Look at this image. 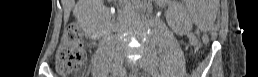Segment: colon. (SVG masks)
Instances as JSON below:
<instances>
[{"label": "colon", "mask_w": 258, "mask_h": 77, "mask_svg": "<svg viewBox=\"0 0 258 77\" xmlns=\"http://www.w3.org/2000/svg\"><path fill=\"white\" fill-rule=\"evenodd\" d=\"M86 60L82 36L78 25H69L63 34L62 43L56 52L57 70L61 75H70L80 70Z\"/></svg>", "instance_id": "obj_1"}]
</instances>
